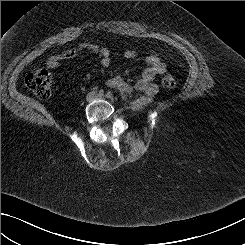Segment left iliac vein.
Instances as JSON below:
<instances>
[{"instance_id": "4c4485c4", "label": "left iliac vein", "mask_w": 245, "mask_h": 245, "mask_svg": "<svg viewBox=\"0 0 245 245\" xmlns=\"http://www.w3.org/2000/svg\"><path fill=\"white\" fill-rule=\"evenodd\" d=\"M104 95H97V99H103Z\"/></svg>"}]
</instances>
